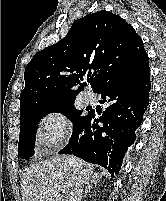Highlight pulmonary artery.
I'll return each instance as SVG.
<instances>
[{
	"instance_id": "obj_1",
	"label": "pulmonary artery",
	"mask_w": 166,
	"mask_h": 201,
	"mask_svg": "<svg viewBox=\"0 0 166 201\" xmlns=\"http://www.w3.org/2000/svg\"><path fill=\"white\" fill-rule=\"evenodd\" d=\"M83 100H84L85 103L90 104V103H92L94 101V97H93V95L91 93L85 92L83 94Z\"/></svg>"
}]
</instances>
